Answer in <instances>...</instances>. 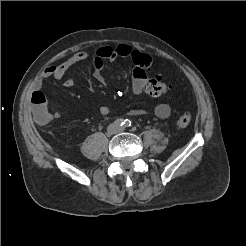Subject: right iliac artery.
<instances>
[{"instance_id": "obj_1", "label": "right iliac artery", "mask_w": 246, "mask_h": 246, "mask_svg": "<svg viewBox=\"0 0 246 246\" xmlns=\"http://www.w3.org/2000/svg\"><path fill=\"white\" fill-rule=\"evenodd\" d=\"M114 124L116 126H123L124 120L123 119H116L115 122H114Z\"/></svg>"}]
</instances>
